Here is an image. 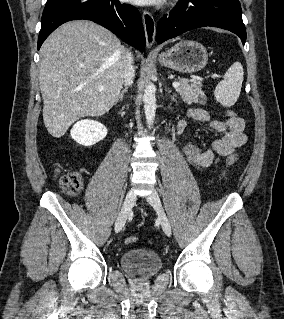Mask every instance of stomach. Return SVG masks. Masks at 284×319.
<instances>
[{"mask_svg":"<svg viewBox=\"0 0 284 319\" xmlns=\"http://www.w3.org/2000/svg\"><path fill=\"white\" fill-rule=\"evenodd\" d=\"M159 63L180 73H195L208 62L206 48L196 41L181 40L158 57Z\"/></svg>","mask_w":284,"mask_h":319,"instance_id":"stomach-1","label":"stomach"}]
</instances>
